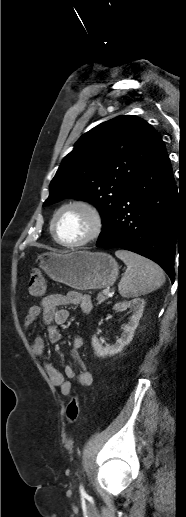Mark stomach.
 Returning <instances> with one entry per match:
<instances>
[{
    "instance_id": "stomach-1",
    "label": "stomach",
    "mask_w": 186,
    "mask_h": 517,
    "mask_svg": "<svg viewBox=\"0 0 186 517\" xmlns=\"http://www.w3.org/2000/svg\"><path fill=\"white\" fill-rule=\"evenodd\" d=\"M38 261L51 279L81 291L109 287L114 284L119 272L116 260L103 252H47L40 255Z\"/></svg>"
}]
</instances>
